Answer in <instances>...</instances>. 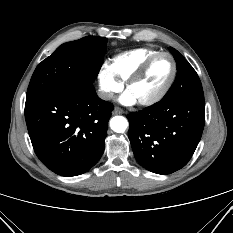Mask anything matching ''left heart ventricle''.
<instances>
[{"instance_id": "obj_1", "label": "left heart ventricle", "mask_w": 233, "mask_h": 233, "mask_svg": "<svg viewBox=\"0 0 233 233\" xmlns=\"http://www.w3.org/2000/svg\"><path fill=\"white\" fill-rule=\"evenodd\" d=\"M172 69L170 59L166 56L160 57L151 65L146 75L128 90L135 96L137 101L147 99L167 83L172 74Z\"/></svg>"}]
</instances>
